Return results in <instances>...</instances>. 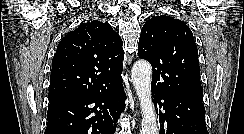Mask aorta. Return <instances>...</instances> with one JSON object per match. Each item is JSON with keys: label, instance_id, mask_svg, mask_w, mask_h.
Wrapping results in <instances>:
<instances>
[{"label": "aorta", "instance_id": "1", "mask_svg": "<svg viewBox=\"0 0 244 134\" xmlns=\"http://www.w3.org/2000/svg\"><path fill=\"white\" fill-rule=\"evenodd\" d=\"M131 77L142 112L140 134H158L157 117L152 102L150 63L146 60H138L132 67Z\"/></svg>", "mask_w": 244, "mask_h": 134}]
</instances>
